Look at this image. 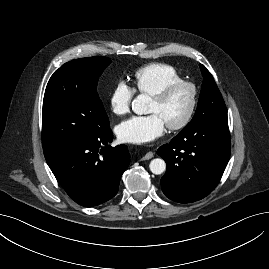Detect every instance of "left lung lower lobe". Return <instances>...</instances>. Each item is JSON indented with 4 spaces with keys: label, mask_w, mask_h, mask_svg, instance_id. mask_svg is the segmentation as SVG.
I'll list each match as a JSON object with an SVG mask.
<instances>
[{
    "label": "left lung lower lobe",
    "mask_w": 269,
    "mask_h": 269,
    "mask_svg": "<svg viewBox=\"0 0 269 269\" xmlns=\"http://www.w3.org/2000/svg\"><path fill=\"white\" fill-rule=\"evenodd\" d=\"M157 154L167 163L160 181L164 195L179 203L198 201L214 190L229 161L228 121L183 129Z\"/></svg>",
    "instance_id": "left-lung-lower-lobe-1"
}]
</instances>
